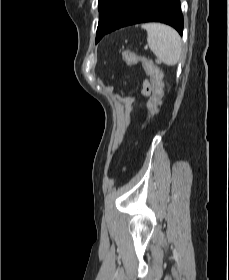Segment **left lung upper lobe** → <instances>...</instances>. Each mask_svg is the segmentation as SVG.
Instances as JSON below:
<instances>
[{
  "mask_svg": "<svg viewBox=\"0 0 229 280\" xmlns=\"http://www.w3.org/2000/svg\"><path fill=\"white\" fill-rule=\"evenodd\" d=\"M129 0H98L99 23L96 39L101 38L112 27L124 11Z\"/></svg>",
  "mask_w": 229,
  "mask_h": 280,
  "instance_id": "1",
  "label": "left lung upper lobe"
}]
</instances>
